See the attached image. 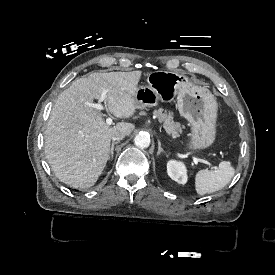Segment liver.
Wrapping results in <instances>:
<instances>
[{
  "label": "liver",
  "instance_id": "liver-1",
  "mask_svg": "<svg viewBox=\"0 0 275 275\" xmlns=\"http://www.w3.org/2000/svg\"><path fill=\"white\" fill-rule=\"evenodd\" d=\"M141 78V71L93 73L74 80L61 93L45 131L47 160L60 181L73 188L96 184L107 165L114 132L123 130L130 136L136 126L128 122L110 126L93 101L105 94L104 101L116 118H133Z\"/></svg>",
  "mask_w": 275,
  "mask_h": 275
}]
</instances>
